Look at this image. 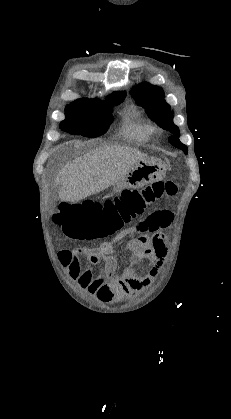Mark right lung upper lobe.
<instances>
[{
  "label": "right lung upper lobe",
  "mask_w": 231,
  "mask_h": 419,
  "mask_svg": "<svg viewBox=\"0 0 231 419\" xmlns=\"http://www.w3.org/2000/svg\"><path fill=\"white\" fill-rule=\"evenodd\" d=\"M125 95H126L125 92H114L107 97V100L108 101H113V100H116V99L125 98ZM73 103H104V102L98 100L97 98H95L93 100H89L87 98H82V99L76 100Z\"/></svg>",
  "instance_id": "right-lung-upper-lobe-1"
}]
</instances>
